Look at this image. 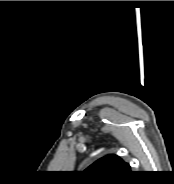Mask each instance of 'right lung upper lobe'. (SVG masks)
Returning <instances> with one entry per match:
<instances>
[{"label": "right lung upper lobe", "mask_w": 174, "mask_h": 184, "mask_svg": "<svg viewBox=\"0 0 174 184\" xmlns=\"http://www.w3.org/2000/svg\"><path fill=\"white\" fill-rule=\"evenodd\" d=\"M87 173L100 178H114L130 172V166L116 155H107L86 170Z\"/></svg>", "instance_id": "1"}]
</instances>
